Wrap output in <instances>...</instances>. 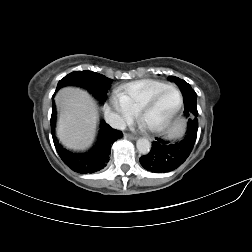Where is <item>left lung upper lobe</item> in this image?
Masks as SVG:
<instances>
[{"label":"left lung upper lobe","instance_id":"left-lung-upper-lobe-1","mask_svg":"<svg viewBox=\"0 0 252 252\" xmlns=\"http://www.w3.org/2000/svg\"><path fill=\"white\" fill-rule=\"evenodd\" d=\"M172 80L175 81L178 86L189 85L187 82H185L184 80H181L180 78H177V77H173Z\"/></svg>","mask_w":252,"mask_h":252}]
</instances>
